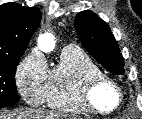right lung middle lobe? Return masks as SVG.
<instances>
[{"instance_id":"1","label":"right lung middle lobe","mask_w":142,"mask_h":119,"mask_svg":"<svg viewBox=\"0 0 142 119\" xmlns=\"http://www.w3.org/2000/svg\"><path fill=\"white\" fill-rule=\"evenodd\" d=\"M21 55L0 58V108L16 104L20 97L15 84V72Z\"/></svg>"}]
</instances>
